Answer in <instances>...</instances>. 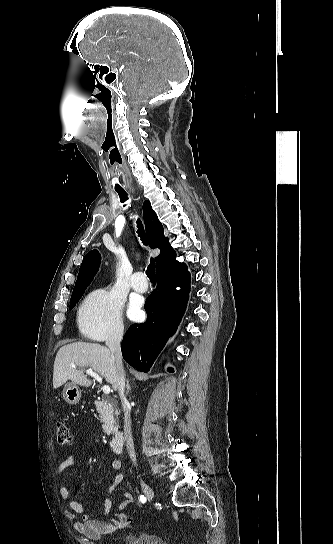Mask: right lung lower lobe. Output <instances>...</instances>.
Here are the masks:
<instances>
[{
  "label": "right lung lower lobe",
  "mask_w": 333,
  "mask_h": 544,
  "mask_svg": "<svg viewBox=\"0 0 333 544\" xmlns=\"http://www.w3.org/2000/svg\"><path fill=\"white\" fill-rule=\"evenodd\" d=\"M157 287L145 303L147 320L134 324L122 340V355L138 371L148 372L176 330L189 294L190 275L180 263L156 274ZM176 287H181L176 290ZM169 371H172L169 369Z\"/></svg>",
  "instance_id": "1"
}]
</instances>
